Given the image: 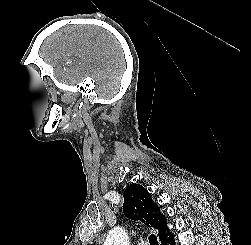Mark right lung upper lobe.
Masks as SVG:
<instances>
[{
  "label": "right lung upper lobe",
  "mask_w": 251,
  "mask_h": 245,
  "mask_svg": "<svg viewBox=\"0 0 251 245\" xmlns=\"http://www.w3.org/2000/svg\"><path fill=\"white\" fill-rule=\"evenodd\" d=\"M123 197V211L126 217L140 220L145 225L157 229L159 240L170 234L165 216L161 214L158 205L154 203L144 187L131 184L125 189Z\"/></svg>",
  "instance_id": "cb5924a9"
}]
</instances>
